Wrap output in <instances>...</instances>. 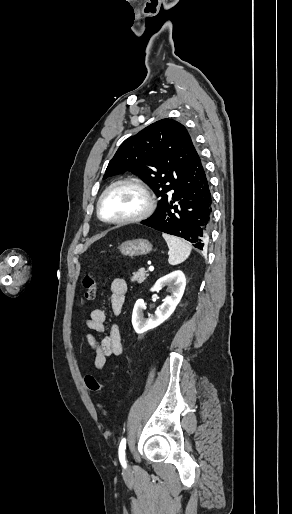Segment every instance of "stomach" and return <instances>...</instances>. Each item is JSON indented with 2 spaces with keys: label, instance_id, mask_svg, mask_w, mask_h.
Returning a JSON list of instances; mask_svg holds the SVG:
<instances>
[{
  "label": "stomach",
  "instance_id": "stomach-1",
  "mask_svg": "<svg viewBox=\"0 0 292 514\" xmlns=\"http://www.w3.org/2000/svg\"><path fill=\"white\" fill-rule=\"evenodd\" d=\"M123 256H143L152 250V244L148 240H128L119 246Z\"/></svg>",
  "mask_w": 292,
  "mask_h": 514
}]
</instances>
